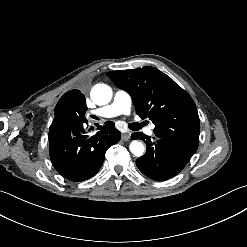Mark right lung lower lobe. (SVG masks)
<instances>
[{
  "label": "right lung lower lobe",
  "instance_id": "right-lung-lower-lobe-1",
  "mask_svg": "<svg viewBox=\"0 0 247 247\" xmlns=\"http://www.w3.org/2000/svg\"><path fill=\"white\" fill-rule=\"evenodd\" d=\"M87 123L86 120L67 131L49 133V154L54 168L75 182L93 177L102 166L107 149L121 136L114 123L107 121L90 137L84 128Z\"/></svg>",
  "mask_w": 247,
  "mask_h": 247
}]
</instances>
